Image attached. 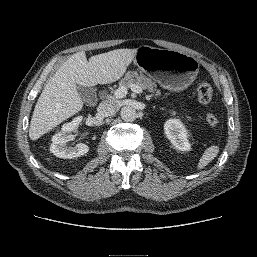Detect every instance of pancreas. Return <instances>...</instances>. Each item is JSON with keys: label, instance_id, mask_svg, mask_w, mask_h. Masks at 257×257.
Masks as SVG:
<instances>
[{"label": "pancreas", "instance_id": "1", "mask_svg": "<svg viewBox=\"0 0 257 257\" xmlns=\"http://www.w3.org/2000/svg\"><path fill=\"white\" fill-rule=\"evenodd\" d=\"M131 84H135L140 86L143 89H147L149 92L152 93V96L157 97L160 95V92L156 89L157 85L156 82L153 81L151 78L145 76L144 74H138L137 72L130 71L127 72L125 77L121 79L119 82L120 86H124L127 89L130 88ZM188 120L191 117L186 116Z\"/></svg>", "mask_w": 257, "mask_h": 257}]
</instances>
